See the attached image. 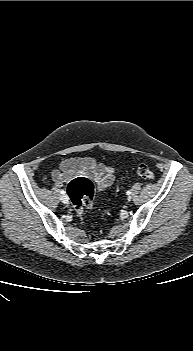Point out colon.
<instances>
[{"instance_id":"5ec220e1","label":"colon","mask_w":193,"mask_h":351,"mask_svg":"<svg viewBox=\"0 0 193 351\" xmlns=\"http://www.w3.org/2000/svg\"><path fill=\"white\" fill-rule=\"evenodd\" d=\"M136 174L142 179H153L154 172L146 165L139 164ZM67 192L72 202L75 213L83 218L85 211L92 207L94 185L87 177H75L67 185Z\"/></svg>"}]
</instances>
